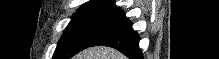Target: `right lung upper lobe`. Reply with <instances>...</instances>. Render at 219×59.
<instances>
[{
	"label": "right lung upper lobe",
	"instance_id": "obj_1",
	"mask_svg": "<svg viewBox=\"0 0 219 59\" xmlns=\"http://www.w3.org/2000/svg\"><path fill=\"white\" fill-rule=\"evenodd\" d=\"M117 9L115 7L114 0H90L83 4L75 14L89 12V13H99V12H110Z\"/></svg>",
	"mask_w": 219,
	"mask_h": 59
}]
</instances>
